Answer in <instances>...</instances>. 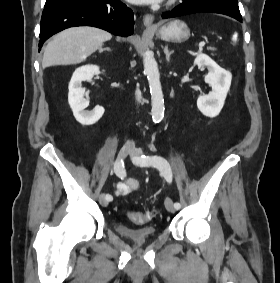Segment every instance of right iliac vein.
Segmentation results:
<instances>
[{
	"instance_id": "1",
	"label": "right iliac vein",
	"mask_w": 280,
	"mask_h": 283,
	"mask_svg": "<svg viewBox=\"0 0 280 283\" xmlns=\"http://www.w3.org/2000/svg\"><path fill=\"white\" fill-rule=\"evenodd\" d=\"M131 151H132V147L131 146H129V145L122 146L120 151H119V154H118L119 159H122V160L126 159V157L130 154ZM99 203L103 207L108 205V200L106 199L105 194H101L100 195Z\"/></svg>"
}]
</instances>
